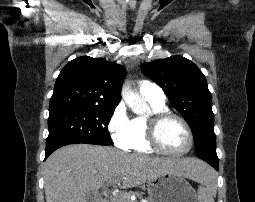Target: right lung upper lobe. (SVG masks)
<instances>
[{"label":"right lung upper lobe","mask_w":255,"mask_h":202,"mask_svg":"<svg viewBox=\"0 0 255 202\" xmlns=\"http://www.w3.org/2000/svg\"><path fill=\"white\" fill-rule=\"evenodd\" d=\"M124 77L121 65L104 58H76L56 80L49 113L89 106L116 107L121 100Z\"/></svg>","instance_id":"right-lung-upper-lobe-1"}]
</instances>
